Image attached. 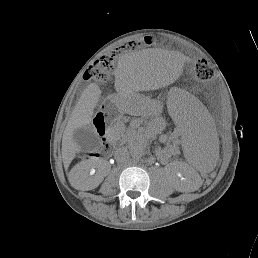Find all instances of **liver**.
<instances>
[{
	"mask_svg": "<svg viewBox=\"0 0 258 258\" xmlns=\"http://www.w3.org/2000/svg\"><path fill=\"white\" fill-rule=\"evenodd\" d=\"M123 61H128V68H122L120 65L116 74L115 89L124 99L132 91V85L137 77L167 75L160 64L140 60L138 56L133 55ZM100 96L101 90L98 84L91 83L81 94L72 112L62 138V159L66 168L75 158V154L80 151L79 145L73 140V133L76 129L85 127L91 123L93 111L99 102ZM77 169L78 167L75 166L70 171L68 175L69 182L78 190H89L93 183L85 181L84 178L77 179L74 175V171Z\"/></svg>",
	"mask_w": 258,
	"mask_h": 258,
	"instance_id": "liver-1",
	"label": "liver"
}]
</instances>
